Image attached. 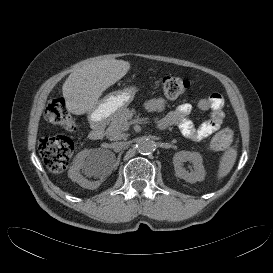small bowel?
I'll return each mask as SVG.
<instances>
[{"instance_id": "small-bowel-1", "label": "small bowel", "mask_w": 273, "mask_h": 273, "mask_svg": "<svg viewBox=\"0 0 273 273\" xmlns=\"http://www.w3.org/2000/svg\"><path fill=\"white\" fill-rule=\"evenodd\" d=\"M224 98L220 93L213 92L207 97L198 101V108L202 111H210V117L200 125H195L190 119L191 106L187 103L181 104L172 111L165 119V124L177 126L188 138L200 141L216 131H218L224 120ZM146 109L152 113L164 110L165 101L163 98L156 97L148 100L145 104Z\"/></svg>"}]
</instances>
